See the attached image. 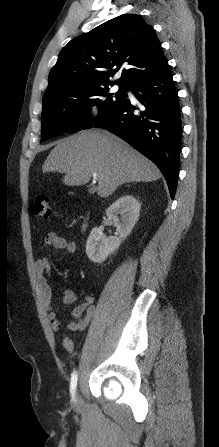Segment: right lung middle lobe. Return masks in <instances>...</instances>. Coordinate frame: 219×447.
<instances>
[{"label": "right lung middle lobe", "mask_w": 219, "mask_h": 447, "mask_svg": "<svg viewBox=\"0 0 219 447\" xmlns=\"http://www.w3.org/2000/svg\"><path fill=\"white\" fill-rule=\"evenodd\" d=\"M113 85L95 87L85 94H55L43 97L41 140L66 131L76 132L88 129L96 120L126 101V88L119 86L116 93H111L110 86ZM93 105L99 108L96 119L91 118L90 114V108Z\"/></svg>", "instance_id": "dd1d6c3e"}]
</instances>
